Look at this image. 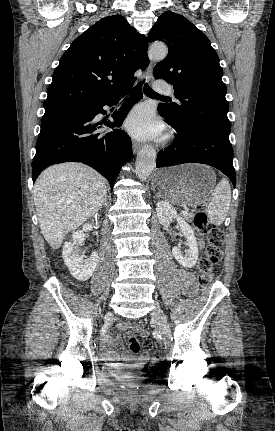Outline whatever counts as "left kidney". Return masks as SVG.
Returning a JSON list of instances; mask_svg holds the SVG:
<instances>
[{
	"label": "left kidney",
	"mask_w": 275,
	"mask_h": 431,
	"mask_svg": "<svg viewBox=\"0 0 275 431\" xmlns=\"http://www.w3.org/2000/svg\"><path fill=\"white\" fill-rule=\"evenodd\" d=\"M157 218L161 224H167L173 219L180 225V229L186 238L188 249L183 253L180 246H175L172 249V254L180 265L186 268L193 267L198 260V244L194 231L191 226L177 214V211L166 201L157 202L156 207Z\"/></svg>",
	"instance_id": "1"
}]
</instances>
